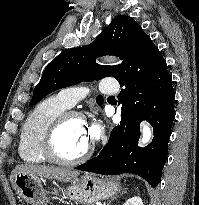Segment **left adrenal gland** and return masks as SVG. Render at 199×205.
Returning <instances> with one entry per match:
<instances>
[{"mask_svg":"<svg viewBox=\"0 0 199 205\" xmlns=\"http://www.w3.org/2000/svg\"><path fill=\"white\" fill-rule=\"evenodd\" d=\"M126 192H127L126 190L121 191L119 196H121V195L125 194ZM116 198H117V197L112 198L111 200H109V201L107 202V204H106V205H110V203H111L114 199H116Z\"/></svg>","mask_w":199,"mask_h":205,"instance_id":"left-adrenal-gland-1","label":"left adrenal gland"}]
</instances>
